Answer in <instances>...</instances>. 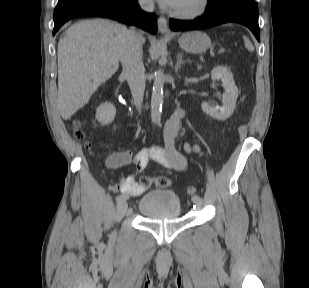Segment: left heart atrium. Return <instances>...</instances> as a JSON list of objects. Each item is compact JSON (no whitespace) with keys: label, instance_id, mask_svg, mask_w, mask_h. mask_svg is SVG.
I'll list each match as a JSON object with an SVG mask.
<instances>
[{"label":"left heart atrium","instance_id":"left-heart-atrium-1","mask_svg":"<svg viewBox=\"0 0 309 288\" xmlns=\"http://www.w3.org/2000/svg\"><path fill=\"white\" fill-rule=\"evenodd\" d=\"M161 4L166 7L173 8L177 0H158Z\"/></svg>","mask_w":309,"mask_h":288}]
</instances>
